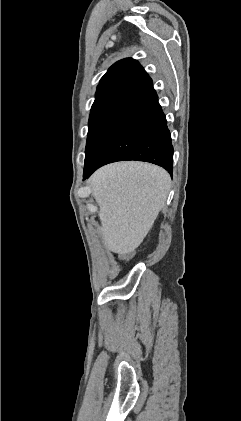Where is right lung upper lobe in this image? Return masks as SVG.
Instances as JSON below:
<instances>
[{"label":"right lung upper lobe","instance_id":"right-lung-upper-lobe-1","mask_svg":"<svg viewBox=\"0 0 241 421\" xmlns=\"http://www.w3.org/2000/svg\"><path fill=\"white\" fill-rule=\"evenodd\" d=\"M151 86V78L136 60H120L101 78L91 112L117 104H132Z\"/></svg>","mask_w":241,"mask_h":421}]
</instances>
